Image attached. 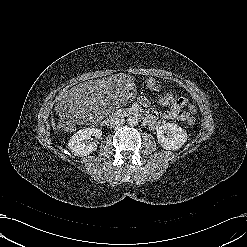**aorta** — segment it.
<instances>
[{
  "label": "aorta",
  "mask_w": 247,
  "mask_h": 247,
  "mask_svg": "<svg viewBox=\"0 0 247 247\" xmlns=\"http://www.w3.org/2000/svg\"><path fill=\"white\" fill-rule=\"evenodd\" d=\"M127 122L130 126H136V125H138L139 119L137 116H130L128 118Z\"/></svg>",
  "instance_id": "1"
}]
</instances>
